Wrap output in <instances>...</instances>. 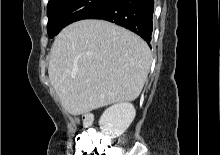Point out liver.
<instances>
[{
  "label": "liver",
  "mask_w": 220,
  "mask_h": 155,
  "mask_svg": "<svg viewBox=\"0 0 220 155\" xmlns=\"http://www.w3.org/2000/svg\"><path fill=\"white\" fill-rule=\"evenodd\" d=\"M151 51L136 34L103 20L65 27L50 52L49 80L71 115L135 100L147 79Z\"/></svg>",
  "instance_id": "obj_1"
}]
</instances>
